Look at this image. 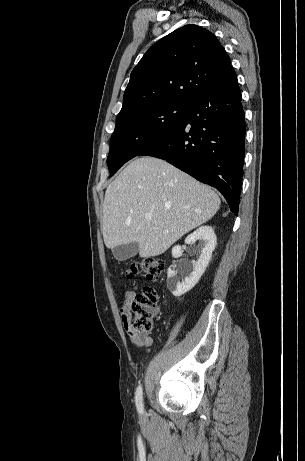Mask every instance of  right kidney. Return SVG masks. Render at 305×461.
<instances>
[{
	"mask_svg": "<svg viewBox=\"0 0 305 461\" xmlns=\"http://www.w3.org/2000/svg\"><path fill=\"white\" fill-rule=\"evenodd\" d=\"M197 240L203 241L204 247L201 250L198 260L193 265V271L190 272V270L186 268V270L181 273L182 276L184 275V279L180 280L176 270L171 267L168 269L167 287L176 297H180L190 291L198 283L209 264L212 252L217 243L216 235L211 226H201L187 236L185 243L194 244ZM182 252V247L177 245L172 249V256L178 258L182 255Z\"/></svg>",
	"mask_w": 305,
	"mask_h": 461,
	"instance_id": "right-kidney-1",
	"label": "right kidney"
}]
</instances>
